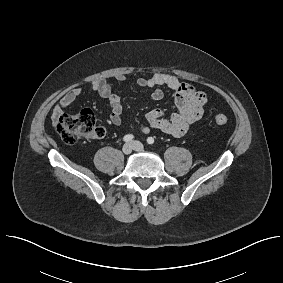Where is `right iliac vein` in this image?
<instances>
[{"label": "right iliac vein", "instance_id": "right-iliac-vein-1", "mask_svg": "<svg viewBox=\"0 0 283 283\" xmlns=\"http://www.w3.org/2000/svg\"><path fill=\"white\" fill-rule=\"evenodd\" d=\"M132 150H133V146L130 143H126L122 147V152L126 155L130 154Z\"/></svg>", "mask_w": 283, "mask_h": 283}]
</instances>
